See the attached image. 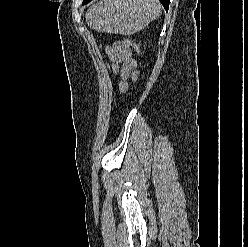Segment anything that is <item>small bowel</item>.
Listing matches in <instances>:
<instances>
[{"instance_id": "c3829d8e", "label": "small bowel", "mask_w": 248, "mask_h": 247, "mask_svg": "<svg viewBox=\"0 0 248 247\" xmlns=\"http://www.w3.org/2000/svg\"><path fill=\"white\" fill-rule=\"evenodd\" d=\"M107 54L112 62L113 71L119 75V90L126 92L127 79L136 77V61L132 57L130 46L124 42H117L107 48Z\"/></svg>"}]
</instances>
